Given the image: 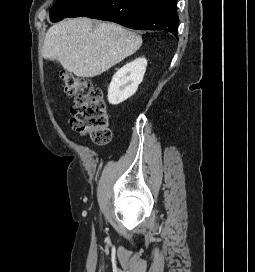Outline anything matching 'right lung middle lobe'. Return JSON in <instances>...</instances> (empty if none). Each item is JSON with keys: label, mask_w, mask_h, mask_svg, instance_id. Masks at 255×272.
Returning a JSON list of instances; mask_svg holds the SVG:
<instances>
[{"label": "right lung middle lobe", "mask_w": 255, "mask_h": 272, "mask_svg": "<svg viewBox=\"0 0 255 272\" xmlns=\"http://www.w3.org/2000/svg\"><path fill=\"white\" fill-rule=\"evenodd\" d=\"M90 0H57L50 10V20L52 22L60 21L85 5Z\"/></svg>", "instance_id": "1"}]
</instances>
